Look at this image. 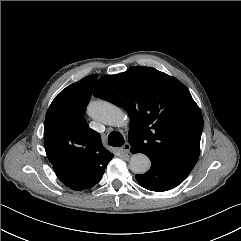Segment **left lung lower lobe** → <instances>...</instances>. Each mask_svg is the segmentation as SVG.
I'll use <instances>...</instances> for the list:
<instances>
[{
	"label": "left lung lower lobe",
	"mask_w": 241,
	"mask_h": 241,
	"mask_svg": "<svg viewBox=\"0 0 241 241\" xmlns=\"http://www.w3.org/2000/svg\"><path fill=\"white\" fill-rule=\"evenodd\" d=\"M188 175L189 173L151 162L150 170L145 174L136 175V179L145 189L161 192L175 188Z\"/></svg>",
	"instance_id": "1"
}]
</instances>
